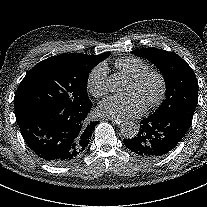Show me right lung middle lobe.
<instances>
[{
  "mask_svg": "<svg viewBox=\"0 0 207 207\" xmlns=\"http://www.w3.org/2000/svg\"><path fill=\"white\" fill-rule=\"evenodd\" d=\"M90 71L65 58L50 57L39 62L16 90V119L48 108L71 114L91 105L87 95Z\"/></svg>",
  "mask_w": 207,
  "mask_h": 207,
  "instance_id": "dd1d6c3e",
  "label": "right lung middle lobe"
}]
</instances>
